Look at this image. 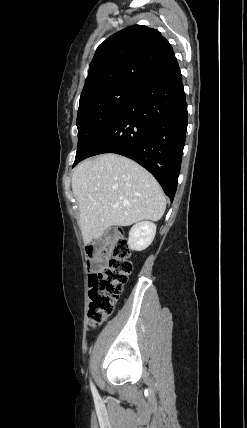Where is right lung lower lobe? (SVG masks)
Masks as SVG:
<instances>
[{"label": "right lung lower lobe", "instance_id": "98d812e1", "mask_svg": "<svg viewBox=\"0 0 247 428\" xmlns=\"http://www.w3.org/2000/svg\"><path fill=\"white\" fill-rule=\"evenodd\" d=\"M187 129V103L178 63L145 86L102 129L73 167L90 156L117 153L146 168L171 201Z\"/></svg>", "mask_w": 247, "mask_h": 428}]
</instances>
